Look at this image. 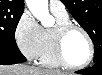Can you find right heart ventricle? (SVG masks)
I'll return each mask as SVG.
<instances>
[{"label":"right heart ventricle","instance_id":"right-heart-ventricle-1","mask_svg":"<svg viewBox=\"0 0 102 75\" xmlns=\"http://www.w3.org/2000/svg\"><path fill=\"white\" fill-rule=\"evenodd\" d=\"M52 13L55 17L56 25L63 24L70 21L68 14L61 15L55 12H52ZM55 26L53 28H42V31H41L42 48H41V54L39 56V60L42 65L47 67H57L60 65V63L55 59L53 54L52 35H53V30Z\"/></svg>","mask_w":102,"mask_h":75}]
</instances>
